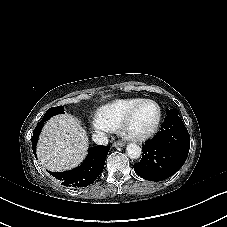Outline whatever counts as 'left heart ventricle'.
Returning a JSON list of instances; mask_svg holds the SVG:
<instances>
[{
	"instance_id": "b2bd125f",
	"label": "left heart ventricle",
	"mask_w": 227,
	"mask_h": 227,
	"mask_svg": "<svg viewBox=\"0 0 227 227\" xmlns=\"http://www.w3.org/2000/svg\"><path fill=\"white\" fill-rule=\"evenodd\" d=\"M158 117V109L154 104H142L131 117L127 130L142 133L150 130Z\"/></svg>"
}]
</instances>
